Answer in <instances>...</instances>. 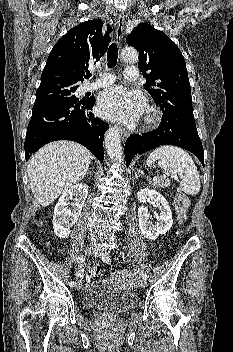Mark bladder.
Segmentation results:
<instances>
[{"mask_svg":"<svg viewBox=\"0 0 233 352\" xmlns=\"http://www.w3.org/2000/svg\"><path fill=\"white\" fill-rule=\"evenodd\" d=\"M137 302L132 291L113 287L108 283H96L88 288L82 303L86 309H105L113 313H124Z\"/></svg>","mask_w":233,"mask_h":352,"instance_id":"bladder-1","label":"bladder"}]
</instances>
